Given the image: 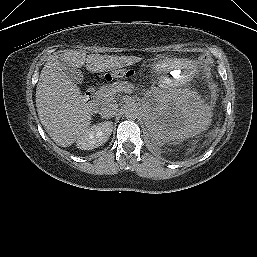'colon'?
<instances>
[{"label":"colon","mask_w":257,"mask_h":257,"mask_svg":"<svg viewBox=\"0 0 257 257\" xmlns=\"http://www.w3.org/2000/svg\"><path fill=\"white\" fill-rule=\"evenodd\" d=\"M199 60H200L201 64L204 65L205 67H212L213 66V59H212L211 56H209L207 54L201 55L199 57ZM134 74H135L134 70L119 69V70L111 71V72H108V73L104 74L103 79L109 81V80L116 79V78H130Z\"/></svg>","instance_id":"obj_1"}]
</instances>
